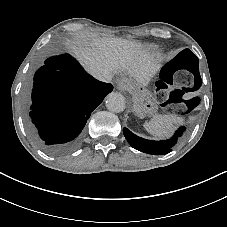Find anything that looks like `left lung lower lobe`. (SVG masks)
Segmentation results:
<instances>
[{"mask_svg":"<svg viewBox=\"0 0 227 227\" xmlns=\"http://www.w3.org/2000/svg\"><path fill=\"white\" fill-rule=\"evenodd\" d=\"M184 130V127H180L175 135L166 141L146 140L136 136L127 128L123 129V133L133 148L152 155H164L171 151L172 147L176 144L178 137L182 135Z\"/></svg>","mask_w":227,"mask_h":227,"instance_id":"0a47b994","label":"left lung lower lobe"}]
</instances>
